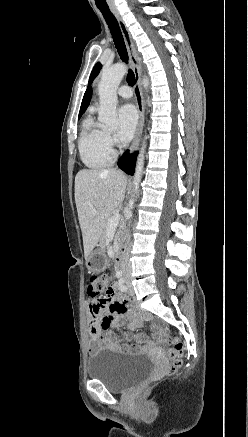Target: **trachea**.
Masks as SVG:
<instances>
[{
	"label": "trachea",
	"mask_w": 248,
	"mask_h": 437,
	"mask_svg": "<svg viewBox=\"0 0 248 437\" xmlns=\"http://www.w3.org/2000/svg\"><path fill=\"white\" fill-rule=\"evenodd\" d=\"M99 10L102 13V15H103V17H104V19H105V21L110 29L115 47L118 51L120 58L122 59V61L127 63L128 62V53H127L124 39H123V36H122L121 30H120V27L118 25L116 18L111 13L109 8H100L99 7ZM127 81H128V84L130 86H134L135 75L131 69L128 70Z\"/></svg>",
	"instance_id": "3493384b"
}]
</instances>
